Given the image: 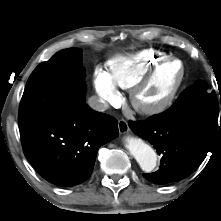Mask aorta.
Listing matches in <instances>:
<instances>
[{
    "mask_svg": "<svg viewBox=\"0 0 221 221\" xmlns=\"http://www.w3.org/2000/svg\"><path fill=\"white\" fill-rule=\"evenodd\" d=\"M125 141L126 148L136 159L141 169L146 172H151L157 162L155 151L141 139L128 136Z\"/></svg>",
    "mask_w": 221,
    "mask_h": 221,
    "instance_id": "obj_1",
    "label": "aorta"
}]
</instances>
